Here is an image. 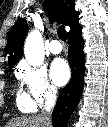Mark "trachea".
Here are the masks:
<instances>
[{"label": "trachea", "mask_w": 108, "mask_h": 127, "mask_svg": "<svg viewBox=\"0 0 108 127\" xmlns=\"http://www.w3.org/2000/svg\"><path fill=\"white\" fill-rule=\"evenodd\" d=\"M58 36H59V38L62 40V41H66V39H67V34H66V30H65V28H64V26H59V28H58Z\"/></svg>", "instance_id": "obj_1"}]
</instances>
